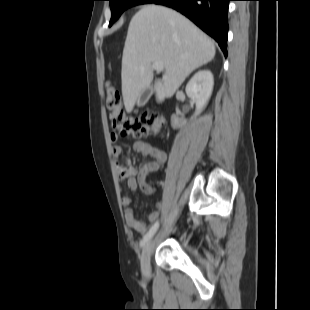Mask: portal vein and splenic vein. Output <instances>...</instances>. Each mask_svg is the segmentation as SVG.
<instances>
[{
  "label": "portal vein and splenic vein",
  "instance_id": "18ae733b",
  "mask_svg": "<svg viewBox=\"0 0 310 310\" xmlns=\"http://www.w3.org/2000/svg\"><path fill=\"white\" fill-rule=\"evenodd\" d=\"M152 68L156 70L157 72H161L164 69V64L163 62H156V63H153Z\"/></svg>",
  "mask_w": 310,
  "mask_h": 310
}]
</instances>
